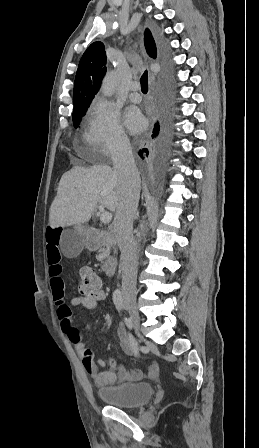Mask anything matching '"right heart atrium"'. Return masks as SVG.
I'll list each match as a JSON object with an SVG mask.
<instances>
[{"mask_svg": "<svg viewBox=\"0 0 259 448\" xmlns=\"http://www.w3.org/2000/svg\"><path fill=\"white\" fill-rule=\"evenodd\" d=\"M91 121L86 133L89 149L98 157H115L127 148L128 138L119 116L103 98L95 97L90 105Z\"/></svg>", "mask_w": 259, "mask_h": 448, "instance_id": "right-heart-atrium-1", "label": "right heart atrium"}]
</instances>
